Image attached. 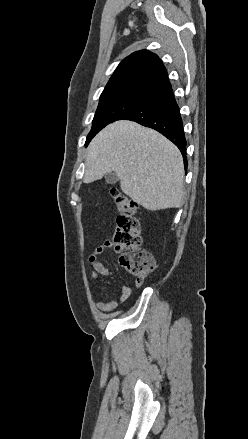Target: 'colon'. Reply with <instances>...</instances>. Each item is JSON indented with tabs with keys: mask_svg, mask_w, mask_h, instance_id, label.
Wrapping results in <instances>:
<instances>
[{
	"mask_svg": "<svg viewBox=\"0 0 248 439\" xmlns=\"http://www.w3.org/2000/svg\"><path fill=\"white\" fill-rule=\"evenodd\" d=\"M112 197L119 215L116 219L113 245L120 253V264L135 277V284L140 286L154 270L155 262L151 253L141 247V226L137 218V203L113 188Z\"/></svg>",
	"mask_w": 248,
	"mask_h": 439,
	"instance_id": "1",
	"label": "colon"
}]
</instances>
